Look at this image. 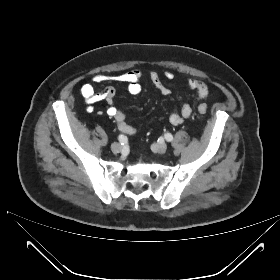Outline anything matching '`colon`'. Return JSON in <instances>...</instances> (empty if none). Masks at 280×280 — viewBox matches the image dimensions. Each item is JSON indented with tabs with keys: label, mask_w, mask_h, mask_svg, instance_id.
<instances>
[{
	"label": "colon",
	"mask_w": 280,
	"mask_h": 280,
	"mask_svg": "<svg viewBox=\"0 0 280 280\" xmlns=\"http://www.w3.org/2000/svg\"><path fill=\"white\" fill-rule=\"evenodd\" d=\"M197 111L200 113V114H204L206 113L207 111V107L205 105H199L198 108H197Z\"/></svg>",
	"instance_id": "obj_1"
}]
</instances>
